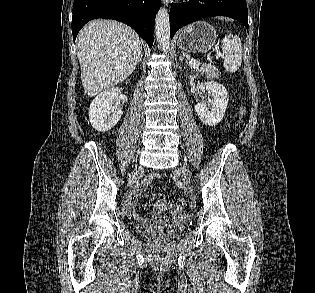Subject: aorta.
<instances>
[{"label": "aorta", "mask_w": 315, "mask_h": 293, "mask_svg": "<svg viewBox=\"0 0 315 293\" xmlns=\"http://www.w3.org/2000/svg\"><path fill=\"white\" fill-rule=\"evenodd\" d=\"M155 34L159 47L162 51H168L170 47V25L167 9L161 8L156 16Z\"/></svg>", "instance_id": "obj_1"}]
</instances>
